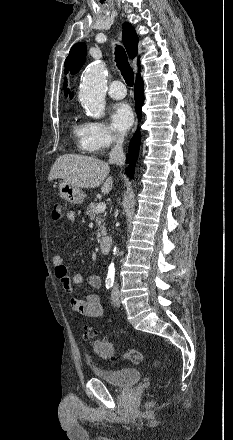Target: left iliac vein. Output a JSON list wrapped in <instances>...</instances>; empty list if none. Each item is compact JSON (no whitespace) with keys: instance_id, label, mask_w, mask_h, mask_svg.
Wrapping results in <instances>:
<instances>
[{"instance_id":"4c4485c4","label":"left iliac vein","mask_w":233,"mask_h":440,"mask_svg":"<svg viewBox=\"0 0 233 440\" xmlns=\"http://www.w3.org/2000/svg\"><path fill=\"white\" fill-rule=\"evenodd\" d=\"M112 303L119 307L121 305L120 296H119V289L117 286H115L112 290L111 294Z\"/></svg>"}]
</instances>
